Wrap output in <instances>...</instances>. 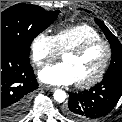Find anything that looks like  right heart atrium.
Returning a JSON list of instances; mask_svg holds the SVG:
<instances>
[{
    "instance_id": "d8ad5b80",
    "label": "right heart atrium",
    "mask_w": 122,
    "mask_h": 122,
    "mask_svg": "<svg viewBox=\"0 0 122 122\" xmlns=\"http://www.w3.org/2000/svg\"><path fill=\"white\" fill-rule=\"evenodd\" d=\"M59 53L54 36L46 32L36 35L31 43V59L39 68L55 60Z\"/></svg>"
}]
</instances>
